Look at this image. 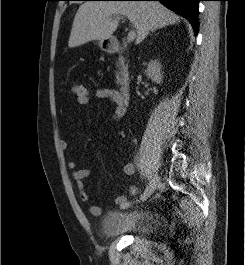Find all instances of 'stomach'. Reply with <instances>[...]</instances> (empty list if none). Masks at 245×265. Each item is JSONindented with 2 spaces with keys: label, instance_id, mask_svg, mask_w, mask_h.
Listing matches in <instances>:
<instances>
[{
  "label": "stomach",
  "instance_id": "obj_1",
  "mask_svg": "<svg viewBox=\"0 0 245 265\" xmlns=\"http://www.w3.org/2000/svg\"><path fill=\"white\" fill-rule=\"evenodd\" d=\"M98 45L99 47L102 49V50H108L110 48V44L106 42V40H100L98 42Z\"/></svg>",
  "mask_w": 245,
  "mask_h": 265
}]
</instances>
